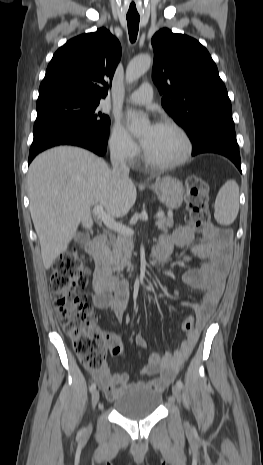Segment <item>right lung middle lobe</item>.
Wrapping results in <instances>:
<instances>
[{"mask_svg": "<svg viewBox=\"0 0 263 465\" xmlns=\"http://www.w3.org/2000/svg\"><path fill=\"white\" fill-rule=\"evenodd\" d=\"M100 100L61 96L37 101L34 135L57 128H74L107 139L110 119L97 106Z\"/></svg>", "mask_w": 263, "mask_h": 465, "instance_id": "1", "label": "right lung middle lobe"}]
</instances>
